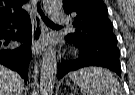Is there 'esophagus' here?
<instances>
[{
  "label": "esophagus",
  "instance_id": "esophagus-1",
  "mask_svg": "<svg viewBox=\"0 0 135 95\" xmlns=\"http://www.w3.org/2000/svg\"><path fill=\"white\" fill-rule=\"evenodd\" d=\"M32 24H33V36H32V52L35 55H40L45 51L44 33L45 25L36 10L37 0H32Z\"/></svg>",
  "mask_w": 135,
  "mask_h": 95
}]
</instances>
